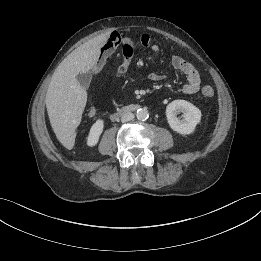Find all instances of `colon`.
<instances>
[{"mask_svg": "<svg viewBox=\"0 0 261 261\" xmlns=\"http://www.w3.org/2000/svg\"><path fill=\"white\" fill-rule=\"evenodd\" d=\"M214 89L210 86H205L202 88L201 95L203 99L210 100L214 97Z\"/></svg>", "mask_w": 261, "mask_h": 261, "instance_id": "colon-1", "label": "colon"}]
</instances>
